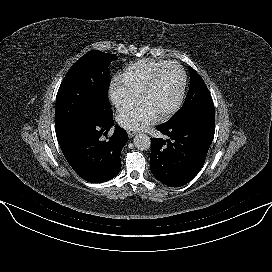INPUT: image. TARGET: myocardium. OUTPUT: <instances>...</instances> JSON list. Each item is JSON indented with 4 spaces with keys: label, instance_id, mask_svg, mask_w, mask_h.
<instances>
[{
    "label": "myocardium",
    "instance_id": "f54148a6",
    "mask_svg": "<svg viewBox=\"0 0 272 272\" xmlns=\"http://www.w3.org/2000/svg\"><path fill=\"white\" fill-rule=\"evenodd\" d=\"M171 66L177 67L181 74H182V85L180 89V93L178 96V99L176 103L167 111L159 115L160 120H166L173 116L182 106L186 89H187V74L184 70V68L178 64L177 62H168L164 66H162L152 77V79L147 83V85L143 88V90L140 93V101H143V99L155 88V86L158 84L162 74L165 72V70Z\"/></svg>",
    "mask_w": 272,
    "mask_h": 272
}]
</instances>
